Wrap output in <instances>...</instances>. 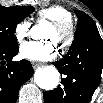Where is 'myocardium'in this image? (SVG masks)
I'll return each mask as SVG.
<instances>
[{
  "label": "myocardium",
  "mask_w": 103,
  "mask_h": 103,
  "mask_svg": "<svg viewBox=\"0 0 103 103\" xmlns=\"http://www.w3.org/2000/svg\"><path fill=\"white\" fill-rule=\"evenodd\" d=\"M52 26L60 33L61 40L58 43V46L61 49L68 48L73 40L75 35V28L71 20H60L52 22Z\"/></svg>",
  "instance_id": "myocardium-1"
}]
</instances>
